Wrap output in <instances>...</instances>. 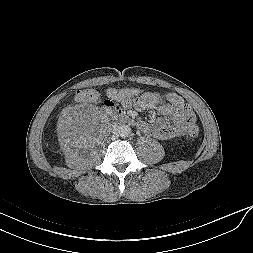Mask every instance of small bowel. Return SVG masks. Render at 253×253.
Here are the masks:
<instances>
[{
    "label": "small bowel",
    "mask_w": 253,
    "mask_h": 253,
    "mask_svg": "<svg viewBox=\"0 0 253 253\" xmlns=\"http://www.w3.org/2000/svg\"><path fill=\"white\" fill-rule=\"evenodd\" d=\"M121 102L124 107L131 105V100ZM117 100L105 99V108L119 111L121 104ZM138 110L155 109L163 119L152 123L140 122L139 128L162 141L171 140L183 136L190 124L195 123V114L192 108L187 105L181 96L175 93L143 92L132 102Z\"/></svg>",
    "instance_id": "1"
}]
</instances>
